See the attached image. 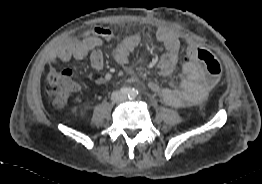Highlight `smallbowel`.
<instances>
[{"instance_id":"c3829d8e","label":"small bowel","mask_w":262,"mask_h":184,"mask_svg":"<svg viewBox=\"0 0 262 184\" xmlns=\"http://www.w3.org/2000/svg\"><path fill=\"white\" fill-rule=\"evenodd\" d=\"M157 40L164 46L165 52L158 62L159 73L171 78L178 71L180 83L178 86L171 81L170 87L162 88L155 82H150L148 87L158 94L168 105L186 107L202 102L209 87L204 83V69L196 57V49L192 44L184 47V54L179 66V52L181 37L179 33L170 28H160L156 34ZM116 33L103 26H95L84 33L83 38L60 43L48 58L49 66L53 67L58 61L68 62L71 59H84L89 57L92 68L101 71L104 67V57L101 46L104 41L114 40ZM139 34H132L119 40L114 48V59L120 65H126L130 54L141 43ZM97 84L102 85L105 79L100 77Z\"/></svg>"}]
</instances>
